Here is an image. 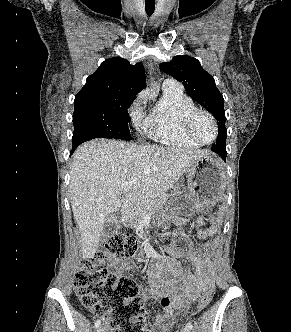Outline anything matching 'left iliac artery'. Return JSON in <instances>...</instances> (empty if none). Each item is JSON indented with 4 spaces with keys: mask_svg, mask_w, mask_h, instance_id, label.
<instances>
[{
    "mask_svg": "<svg viewBox=\"0 0 291 332\" xmlns=\"http://www.w3.org/2000/svg\"><path fill=\"white\" fill-rule=\"evenodd\" d=\"M186 327L189 328V329H192L193 325L190 322H188L187 325H186Z\"/></svg>",
    "mask_w": 291,
    "mask_h": 332,
    "instance_id": "obj_1",
    "label": "left iliac artery"
}]
</instances>
